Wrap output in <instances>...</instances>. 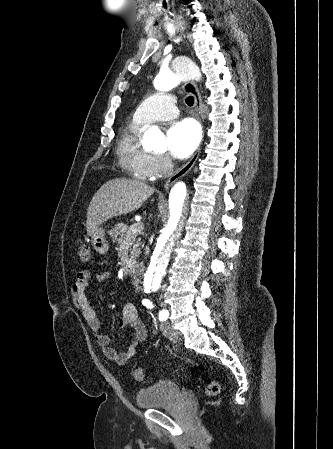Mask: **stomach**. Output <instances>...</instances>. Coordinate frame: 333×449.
Segmentation results:
<instances>
[{
	"label": "stomach",
	"mask_w": 333,
	"mask_h": 449,
	"mask_svg": "<svg viewBox=\"0 0 333 449\" xmlns=\"http://www.w3.org/2000/svg\"><path fill=\"white\" fill-rule=\"evenodd\" d=\"M92 245L96 252L99 254H105L108 249L109 245L108 242L105 239V230L102 227H99L92 235Z\"/></svg>",
	"instance_id": "obj_1"
}]
</instances>
